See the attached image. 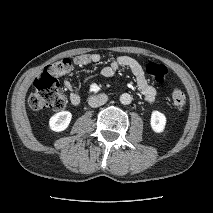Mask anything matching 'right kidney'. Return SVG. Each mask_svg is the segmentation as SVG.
Wrapping results in <instances>:
<instances>
[{"mask_svg": "<svg viewBox=\"0 0 213 213\" xmlns=\"http://www.w3.org/2000/svg\"><path fill=\"white\" fill-rule=\"evenodd\" d=\"M72 114L69 111H60L53 115L49 120L51 130L55 132L64 131L70 124Z\"/></svg>", "mask_w": 213, "mask_h": 213, "instance_id": "1", "label": "right kidney"}]
</instances>
